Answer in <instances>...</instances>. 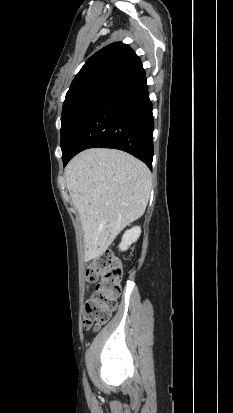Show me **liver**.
<instances>
[{"label": "liver", "instance_id": "liver-1", "mask_svg": "<svg viewBox=\"0 0 233 413\" xmlns=\"http://www.w3.org/2000/svg\"><path fill=\"white\" fill-rule=\"evenodd\" d=\"M65 177L82 223L84 259L90 261L102 256L116 236L144 214L151 172L126 152L94 148L76 155Z\"/></svg>", "mask_w": 233, "mask_h": 413}]
</instances>
